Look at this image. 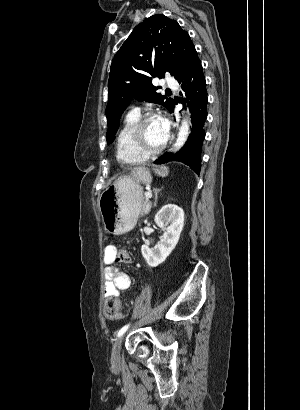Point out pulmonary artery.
<instances>
[{
	"mask_svg": "<svg viewBox=\"0 0 300 410\" xmlns=\"http://www.w3.org/2000/svg\"><path fill=\"white\" fill-rule=\"evenodd\" d=\"M165 83H166V85H167L168 87H170V88H173V89H176V88H177V82H176V80H175L173 77H171V76H168V77L165 78ZM132 111L139 112V108H133Z\"/></svg>",
	"mask_w": 300,
	"mask_h": 410,
	"instance_id": "e3ab8cb5",
	"label": "pulmonary artery"
}]
</instances>
